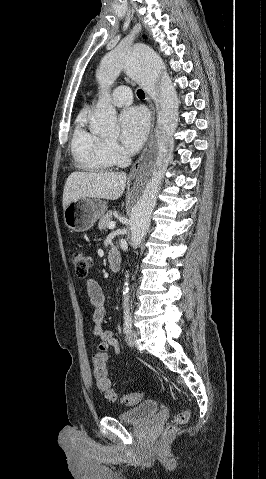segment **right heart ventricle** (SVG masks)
Here are the masks:
<instances>
[{
  "label": "right heart ventricle",
  "mask_w": 266,
  "mask_h": 479,
  "mask_svg": "<svg viewBox=\"0 0 266 479\" xmlns=\"http://www.w3.org/2000/svg\"><path fill=\"white\" fill-rule=\"evenodd\" d=\"M105 145L106 141L99 135L88 131L84 127L83 118H80L71 142V149L77 166L88 171H110L114 162L107 154Z\"/></svg>",
  "instance_id": "obj_1"
}]
</instances>
